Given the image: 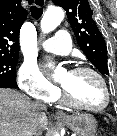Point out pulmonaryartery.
<instances>
[{"mask_svg":"<svg viewBox=\"0 0 117 136\" xmlns=\"http://www.w3.org/2000/svg\"><path fill=\"white\" fill-rule=\"evenodd\" d=\"M44 50L55 53L66 55L71 51L72 42L70 35L65 29H58L52 38L47 39L42 43Z\"/></svg>","mask_w":117,"mask_h":136,"instance_id":"obj_1","label":"pulmonary artery"}]
</instances>
